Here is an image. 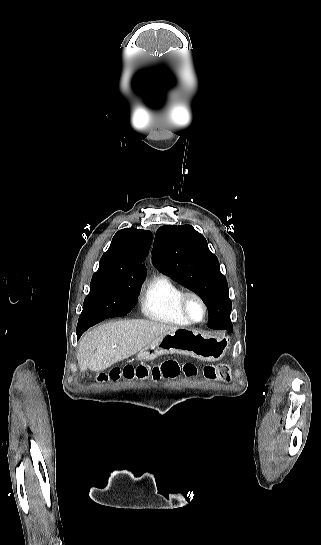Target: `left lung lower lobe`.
I'll use <instances>...</instances> for the list:
<instances>
[{
  "label": "left lung lower lobe",
  "mask_w": 321,
  "mask_h": 545,
  "mask_svg": "<svg viewBox=\"0 0 321 545\" xmlns=\"http://www.w3.org/2000/svg\"><path fill=\"white\" fill-rule=\"evenodd\" d=\"M208 327L211 329H225L232 331L233 326L230 320V316L221 311L208 310Z\"/></svg>",
  "instance_id": "1"
}]
</instances>
